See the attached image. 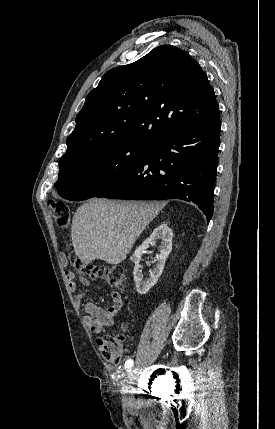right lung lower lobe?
I'll return each instance as SVG.
<instances>
[{"label":"right lung lower lobe","mask_w":275,"mask_h":429,"mask_svg":"<svg viewBox=\"0 0 275 429\" xmlns=\"http://www.w3.org/2000/svg\"><path fill=\"white\" fill-rule=\"evenodd\" d=\"M221 121L214 119L180 127L152 141L142 163L99 192L112 199L193 202L209 222Z\"/></svg>","instance_id":"obj_1"}]
</instances>
